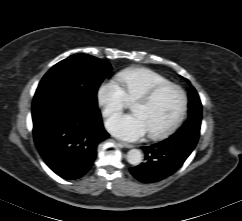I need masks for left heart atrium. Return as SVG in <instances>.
Returning <instances> with one entry per match:
<instances>
[{
    "mask_svg": "<svg viewBox=\"0 0 242 221\" xmlns=\"http://www.w3.org/2000/svg\"><path fill=\"white\" fill-rule=\"evenodd\" d=\"M105 125L111 134L127 141H136L148 134L143 119L137 114L115 115Z\"/></svg>",
    "mask_w": 242,
    "mask_h": 221,
    "instance_id": "39dd6f15",
    "label": "left heart atrium"
}]
</instances>
